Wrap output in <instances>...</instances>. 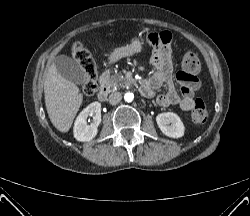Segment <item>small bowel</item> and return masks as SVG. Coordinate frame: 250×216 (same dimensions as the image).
<instances>
[{
  "mask_svg": "<svg viewBox=\"0 0 250 216\" xmlns=\"http://www.w3.org/2000/svg\"><path fill=\"white\" fill-rule=\"evenodd\" d=\"M148 41L155 48L152 61L155 71L144 82L148 89L146 96H152L165 84L167 91L157 96V104L161 107L176 106L183 111H190L194 107L195 92L199 89L197 77L185 76L182 71L177 72L176 79L181 87V95H179L174 89L172 63L168 53L171 35L168 32L150 34Z\"/></svg>",
  "mask_w": 250,
  "mask_h": 216,
  "instance_id": "obj_1",
  "label": "small bowel"
}]
</instances>
